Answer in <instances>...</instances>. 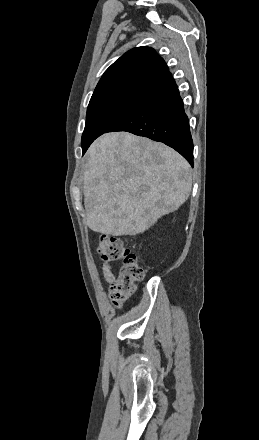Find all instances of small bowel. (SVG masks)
Segmentation results:
<instances>
[{
  "label": "small bowel",
  "mask_w": 259,
  "mask_h": 440,
  "mask_svg": "<svg viewBox=\"0 0 259 440\" xmlns=\"http://www.w3.org/2000/svg\"><path fill=\"white\" fill-rule=\"evenodd\" d=\"M101 273H102L103 277L105 278V280L109 283L113 282V280L115 279V277L112 273V265L107 262L103 263V265L101 267Z\"/></svg>",
  "instance_id": "obj_1"
}]
</instances>
